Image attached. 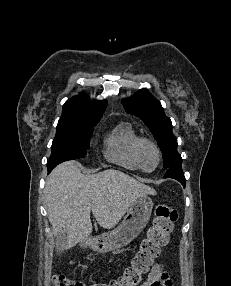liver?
<instances>
[{"mask_svg":"<svg viewBox=\"0 0 231 286\" xmlns=\"http://www.w3.org/2000/svg\"><path fill=\"white\" fill-rule=\"evenodd\" d=\"M44 193L53 232L67 250L91 234V212L102 228L111 229L138 197L156 191L119 170L84 175L77 162L67 161L51 172Z\"/></svg>","mask_w":231,"mask_h":286,"instance_id":"1","label":"liver"}]
</instances>
